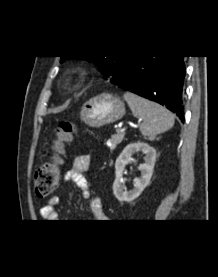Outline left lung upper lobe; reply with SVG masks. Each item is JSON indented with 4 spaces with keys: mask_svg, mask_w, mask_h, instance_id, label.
I'll return each mask as SVG.
<instances>
[{
    "mask_svg": "<svg viewBox=\"0 0 218 277\" xmlns=\"http://www.w3.org/2000/svg\"><path fill=\"white\" fill-rule=\"evenodd\" d=\"M133 55H122V56H78L74 58L85 59L90 62L96 63L99 68L102 70L101 73L111 79L112 76L121 72L124 67L130 62L133 58ZM73 57L61 56L60 62L65 61Z\"/></svg>",
    "mask_w": 218,
    "mask_h": 277,
    "instance_id": "obj_1",
    "label": "left lung upper lobe"
}]
</instances>
